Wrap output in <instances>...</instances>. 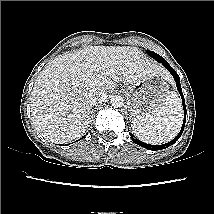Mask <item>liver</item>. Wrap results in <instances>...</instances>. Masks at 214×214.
<instances>
[{"mask_svg":"<svg viewBox=\"0 0 214 214\" xmlns=\"http://www.w3.org/2000/svg\"><path fill=\"white\" fill-rule=\"evenodd\" d=\"M162 75L163 66L130 46H89L57 56L39 74L32 90L31 116L47 140L64 144L84 135L91 121L93 90L114 91Z\"/></svg>","mask_w":214,"mask_h":214,"instance_id":"1","label":"liver"}]
</instances>
